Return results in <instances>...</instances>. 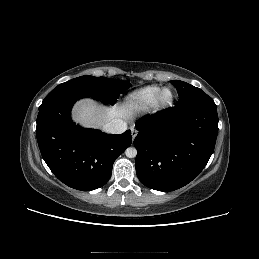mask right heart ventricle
Masks as SVG:
<instances>
[{"label": "right heart ventricle", "instance_id": "right-heart-ventricle-1", "mask_svg": "<svg viewBox=\"0 0 259 259\" xmlns=\"http://www.w3.org/2000/svg\"><path fill=\"white\" fill-rule=\"evenodd\" d=\"M159 90L160 87L156 85L137 89L126 97V106L132 111H145L152 106Z\"/></svg>", "mask_w": 259, "mask_h": 259}]
</instances>
